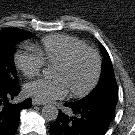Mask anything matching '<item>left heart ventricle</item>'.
Listing matches in <instances>:
<instances>
[{
	"instance_id": "obj_1",
	"label": "left heart ventricle",
	"mask_w": 135,
	"mask_h": 135,
	"mask_svg": "<svg viewBox=\"0 0 135 135\" xmlns=\"http://www.w3.org/2000/svg\"><path fill=\"white\" fill-rule=\"evenodd\" d=\"M94 69L95 62L92 55L82 54L66 68L54 66L51 76L62 79L69 91H81L92 79Z\"/></svg>"
}]
</instances>
